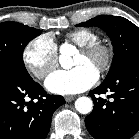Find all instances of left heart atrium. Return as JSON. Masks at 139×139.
<instances>
[{
    "instance_id": "obj_1",
    "label": "left heart atrium",
    "mask_w": 139,
    "mask_h": 139,
    "mask_svg": "<svg viewBox=\"0 0 139 139\" xmlns=\"http://www.w3.org/2000/svg\"><path fill=\"white\" fill-rule=\"evenodd\" d=\"M98 79V72L88 65L75 66L69 70H57L46 81V88L53 93L68 95L85 91Z\"/></svg>"
}]
</instances>
